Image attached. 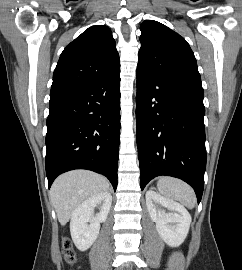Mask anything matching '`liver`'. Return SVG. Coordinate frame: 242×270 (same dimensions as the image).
<instances>
[{"label": "liver", "instance_id": "liver-1", "mask_svg": "<svg viewBox=\"0 0 242 270\" xmlns=\"http://www.w3.org/2000/svg\"><path fill=\"white\" fill-rule=\"evenodd\" d=\"M109 189V181L94 172L75 170L60 175L50 190L58 220L64 226L86 199Z\"/></svg>", "mask_w": 242, "mask_h": 270}]
</instances>
